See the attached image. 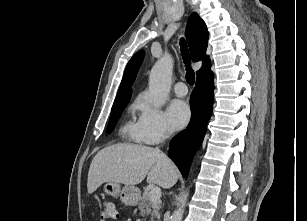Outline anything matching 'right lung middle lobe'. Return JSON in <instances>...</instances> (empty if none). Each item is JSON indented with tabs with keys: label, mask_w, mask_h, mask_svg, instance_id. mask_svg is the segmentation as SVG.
<instances>
[{
	"label": "right lung middle lobe",
	"mask_w": 307,
	"mask_h": 221,
	"mask_svg": "<svg viewBox=\"0 0 307 221\" xmlns=\"http://www.w3.org/2000/svg\"><path fill=\"white\" fill-rule=\"evenodd\" d=\"M128 100L116 102L113 104L112 110H111V115L109 119V124H108V130L107 132H111L118 121L119 117L121 116L122 111L124 110L125 106L127 105Z\"/></svg>",
	"instance_id": "obj_1"
}]
</instances>
